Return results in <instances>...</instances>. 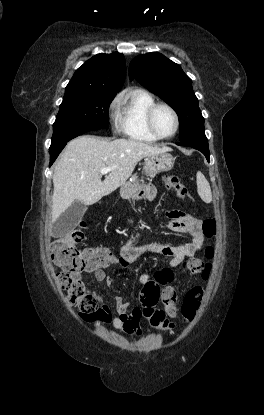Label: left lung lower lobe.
<instances>
[{"label":"left lung lower lobe","mask_w":264,"mask_h":415,"mask_svg":"<svg viewBox=\"0 0 264 415\" xmlns=\"http://www.w3.org/2000/svg\"><path fill=\"white\" fill-rule=\"evenodd\" d=\"M177 145L189 146V147H192L194 149H197V150L201 151L206 156V159L209 161L210 152H209V148H208L207 138L180 141V143H177Z\"/></svg>","instance_id":"left-lung-lower-lobe-1"}]
</instances>
